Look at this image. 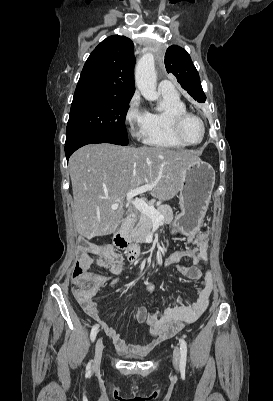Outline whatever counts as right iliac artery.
I'll return each mask as SVG.
<instances>
[{"instance_id": "82829eb1", "label": "right iliac artery", "mask_w": 273, "mask_h": 401, "mask_svg": "<svg viewBox=\"0 0 273 401\" xmlns=\"http://www.w3.org/2000/svg\"><path fill=\"white\" fill-rule=\"evenodd\" d=\"M98 328H99V325L96 324V325L93 326V328L91 330L90 338H91L92 342L96 338V335L98 333ZM87 369H88L89 372H91V362L88 363Z\"/></svg>"}]
</instances>
